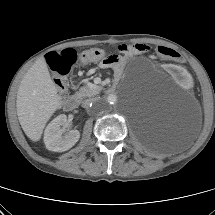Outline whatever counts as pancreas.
I'll return each mask as SVG.
<instances>
[{"label":"pancreas","instance_id":"obj_1","mask_svg":"<svg viewBox=\"0 0 215 215\" xmlns=\"http://www.w3.org/2000/svg\"><path fill=\"white\" fill-rule=\"evenodd\" d=\"M103 89L102 86L95 85L92 83H88L86 86H83L75 93V95L80 98H86V97H92L100 93V91Z\"/></svg>","mask_w":215,"mask_h":215}]
</instances>
